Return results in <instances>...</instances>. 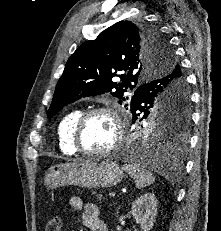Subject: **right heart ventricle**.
I'll return each instance as SVG.
<instances>
[{"mask_svg":"<svg viewBox=\"0 0 221 231\" xmlns=\"http://www.w3.org/2000/svg\"><path fill=\"white\" fill-rule=\"evenodd\" d=\"M81 113L82 111L80 109L71 110L59 121L57 127L58 145L61 152L66 155L76 153V150L72 145V133L74 124Z\"/></svg>","mask_w":221,"mask_h":231,"instance_id":"obj_1","label":"right heart ventricle"}]
</instances>
